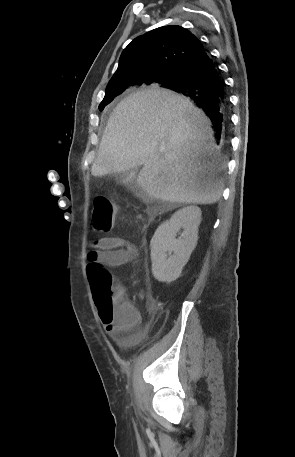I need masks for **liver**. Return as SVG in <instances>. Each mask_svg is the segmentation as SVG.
<instances>
[{
	"instance_id": "obj_1",
	"label": "liver",
	"mask_w": 295,
	"mask_h": 457,
	"mask_svg": "<svg viewBox=\"0 0 295 457\" xmlns=\"http://www.w3.org/2000/svg\"><path fill=\"white\" fill-rule=\"evenodd\" d=\"M220 161L205 113L173 91L152 88L115 107L91 173L101 177L143 166L137 184L149 197L212 204L222 195Z\"/></svg>"
}]
</instances>
